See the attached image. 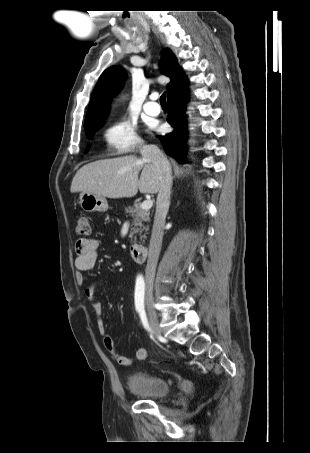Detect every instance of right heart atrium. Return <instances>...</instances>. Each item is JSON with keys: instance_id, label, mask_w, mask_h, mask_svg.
I'll return each instance as SVG.
<instances>
[{"instance_id": "obj_1", "label": "right heart atrium", "mask_w": 310, "mask_h": 453, "mask_svg": "<svg viewBox=\"0 0 310 453\" xmlns=\"http://www.w3.org/2000/svg\"><path fill=\"white\" fill-rule=\"evenodd\" d=\"M103 140L108 153L112 155L132 153L142 147L135 125L125 118L108 124L103 132Z\"/></svg>"}]
</instances>
